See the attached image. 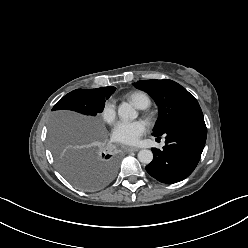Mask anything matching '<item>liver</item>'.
Segmentation results:
<instances>
[{"label":"liver","mask_w":248,"mask_h":248,"mask_svg":"<svg viewBox=\"0 0 248 248\" xmlns=\"http://www.w3.org/2000/svg\"><path fill=\"white\" fill-rule=\"evenodd\" d=\"M60 124H57V130L61 134L60 137L64 138L72 132H76L79 128L84 130L88 138L94 136V125L81 117L62 115Z\"/></svg>","instance_id":"1"}]
</instances>
